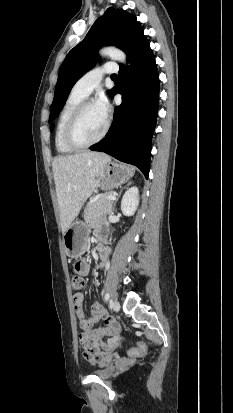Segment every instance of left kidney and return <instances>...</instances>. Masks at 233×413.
I'll list each match as a JSON object with an SVG mask.
<instances>
[{
    "label": "left kidney",
    "instance_id": "obj_1",
    "mask_svg": "<svg viewBox=\"0 0 233 413\" xmlns=\"http://www.w3.org/2000/svg\"><path fill=\"white\" fill-rule=\"evenodd\" d=\"M139 204V191L137 187L129 188L122 197L121 211L125 216H132Z\"/></svg>",
    "mask_w": 233,
    "mask_h": 413
}]
</instances>
